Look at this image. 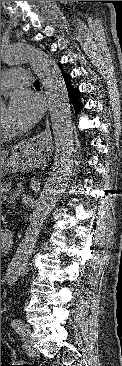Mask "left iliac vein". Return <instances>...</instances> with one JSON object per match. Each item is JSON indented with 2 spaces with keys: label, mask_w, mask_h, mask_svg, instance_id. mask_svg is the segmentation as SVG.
I'll return each instance as SVG.
<instances>
[{
  "label": "left iliac vein",
  "mask_w": 122,
  "mask_h": 366,
  "mask_svg": "<svg viewBox=\"0 0 122 366\" xmlns=\"http://www.w3.org/2000/svg\"><path fill=\"white\" fill-rule=\"evenodd\" d=\"M21 333L25 337V345H26V347L27 348H30V345L32 343V339H31L32 331H31V329L28 328V327H23Z\"/></svg>",
  "instance_id": "left-iliac-vein-1"
}]
</instances>
